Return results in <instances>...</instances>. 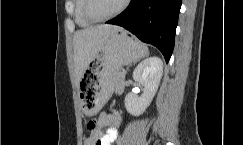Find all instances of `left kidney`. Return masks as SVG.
<instances>
[{
	"instance_id": "1",
	"label": "left kidney",
	"mask_w": 243,
	"mask_h": 145,
	"mask_svg": "<svg viewBox=\"0 0 243 145\" xmlns=\"http://www.w3.org/2000/svg\"><path fill=\"white\" fill-rule=\"evenodd\" d=\"M163 74V62L159 57H149L138 64L133 72V79L144 89L140 97L129 93L125 97L126 110L133 116L145 112L153 100Z\"/></svg>"
}]
</instances>
